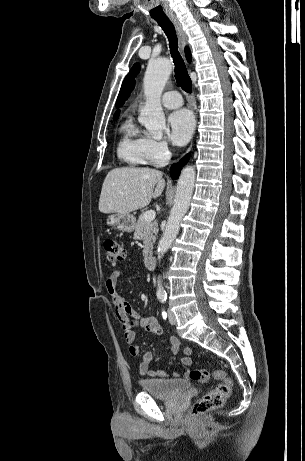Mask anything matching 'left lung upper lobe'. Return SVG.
<instances>
[{
	"label": "left lung upper lobe",
	"mask_w": 305,
	"mask_h": 461,
	"mask_svg": "<svg viewBox=\"0 0 305 461\" xmlns=\"http://www.w3.org/2000/svg\"><path fill=\"white\" fill-rule=\"evenodd\" d=\"M139 71H140V65L136 63L133 65L130 72L125 77L122 83V87L119 92L118 98H117V104H116L117 107L121 106L124 103V101L129 97L131 91L133 90L135 86V77L139 73Z\"/></svg>",
	"instance_id": "5c2ea615"
}]
</instances>
